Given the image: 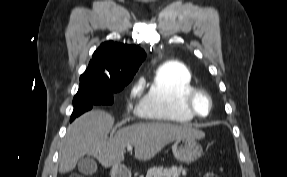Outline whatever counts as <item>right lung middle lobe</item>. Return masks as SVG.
<instances>
[{"instance_id": "right-lung-middle-lobe-1", "label": "right lung middle lobe", "mask_w": 287, "mask_h": 177, "mask_svg": "<svg viewBox=\"0 0 287 177\" xmlns=\"http://www.w3.org/2000/svg\"><path fill=\"white\" fill-rule=\"evenodd\" d=\"M131 80L122 81L110 86H104L99 84L96 79L89 75L82 74L80 76V86L77 94L73 99V106L80 105H100V104H112L113 93L121 91ZM78 116L76 112L71 115V121Z\"/></svg>"}]
</instances>
